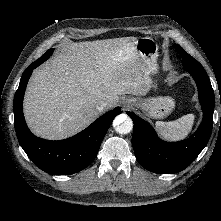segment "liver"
Here are the masks:
<instances>
[{
	"mask_svg": "<svg viewBox=\"0 0 221 221\" xmlns=\"http://www.w3.org/2000/svg\"><path fill=\"white\" fill-rule=\"evenodd\" d=\"M135 37L74 43L36 69L25 98L24 114L34 134L63 139L84 129L119 95L144 96L149 70ZM105 99L103 110L96 108Z\"/></svg>",
	"mask_w": 221,
	"mask_h": 221,
	"instance_id": "6515ba94",
	"label": "liver"
}]
</instances>
